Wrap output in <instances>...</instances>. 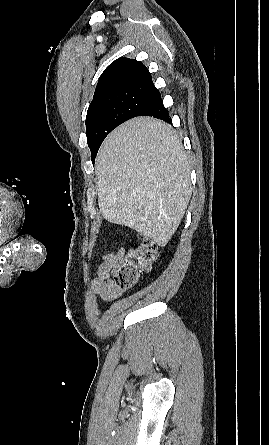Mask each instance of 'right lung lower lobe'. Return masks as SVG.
I'll use <instances>...</instances> for the list:
<instances>
[{
    "instance_id": "obj_1",
    "label": "right lung lower lobe",
    "mask_w": 269,
    "mask_h": 445,
    "mask_svg": "<svg viewBox=\"0 0 269 445\" xmlns=\"http://www.w3.org/2000/svg\"><path fill=\"white\" fill-rule=\"evenodd\" d=\"M138 116H153L155 118L170 121L168 110L163 106L161 95L150 103Z\"/></svg>"
}]
</instances>
